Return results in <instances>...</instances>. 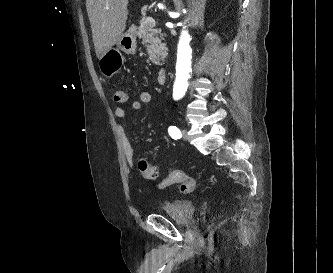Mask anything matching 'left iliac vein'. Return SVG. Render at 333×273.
<instances>
[{
  "label": "left iliac vein",
  "instance_id": "left-iliac-vein-1",
  "mask_svg": "<svg viewBox=\"0 0 333 273\" xmlns=\"http://www.w3.org/2000/svg\"><path fill=\"white\" fill-rule=\"evenodd\" d=\"M182 137H183L185 140H188L189 135H188V132H187L186 129H183V130H182Z\"/></svg>",
  "mask_w": 333,
  "mask_h": 273
}]
</instances>
